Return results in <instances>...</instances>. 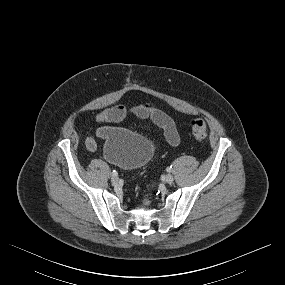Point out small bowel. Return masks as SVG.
Returning <instances> with one entry per match:
<instances>
[{
  "mask_svg": "<svg viewBox=\"0 0 285 285\" xmlns=\"http://www.w3.org/2000/svg\"><path fill=\"white\" fill-rule=\"evenodd\" d=\"M128 116H134L140 120H150L164 132L167 142L171 146H177L180 143V137L172 118L162 109L152 103H143L131 108L119 105L105 109L95 117L98 122L118 123ZM106 129L98 128L95 134L90 135L85 140V146L89 151H94L97 147L96 138H102Z\"/></svg>",
  "mask_w": 285,
  "mask_h": 285,
  "instance_id": "obj_1",
  "label": "small bowel"
}]
</instances>
